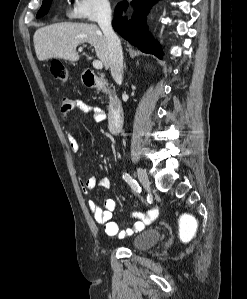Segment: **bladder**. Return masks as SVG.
I'll list each match as a JSON object with an SVG mask.
<instances>
[{"label": "bladder", "instance_id": "obj_1", "mask_svg": "<svg viewBox=\"0 0 247 299\" xmlns=\"http://www.w3.org/2000/svg\"><path fill=\"white\" fill-rule=\"evenodd\" d=\"M161 239V232L158 229H145L137 233L130 241V246L136 250L151 248Z\"/></svg>", "mask_w": 247, "mask_h": 299}]
</instances>
